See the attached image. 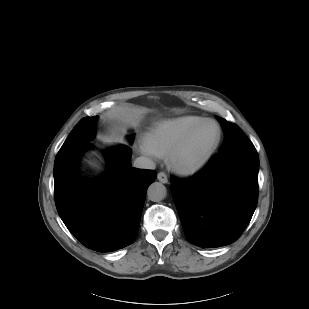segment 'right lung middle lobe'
I'll return each instance as SVG.
<instances>
[{"instance_id":"1","label":"right lung middle lobe","mask_w":309,"mask_h":309,"mask_svg":"<svg viewBox=\"0 0 309 309\" xmlns=\"http://www.w3.org/2000/svg\"><path fill=\"white\" fill-rule=\"evenodd\" d=\"M96 119L97 117H85L74 127L59 150L54 165L87 144L90 138L94 135V124Z\"/></svg>"}]
</instances>
